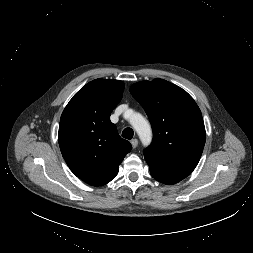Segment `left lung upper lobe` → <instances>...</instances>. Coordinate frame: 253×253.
<instances>
[{"instance_id":"obj_1","label":"left lung upper lobe","mask_w":253,"mask_h":253,"mask_svg":"<svg viewBox=\"0 0 253 253\" xmlns=\"http://www.w3.org/2000/svg\"><path fill=\"white\" fill-rule=\"evenodd\" d=\"M130 92L152 126L153 141L144 151L149 168L186 178L198 164L206 140L198 105L185 90L160 78L135 83Z\"/></svg>"}]
</instances>
